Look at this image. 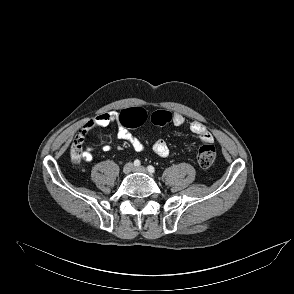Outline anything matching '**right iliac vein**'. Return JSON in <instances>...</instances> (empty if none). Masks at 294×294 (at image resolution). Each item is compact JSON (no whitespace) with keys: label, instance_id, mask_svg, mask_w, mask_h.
Masks as SVG:
<instances>
[{"label":"right iliac vein","instance_id":"obj_1","mask_svg":"<svg viewBox=\"0 0 294 294\" xmlns=\"http://www.w3.org/2000/svg\"><path fill=\"white\" fill-rule=\"evenodd\" d=\"M132 170H133V164L132 163H127L123 167L124 174H129Z\"/></svg>","mask_w":294,"mask_h":294}]
</instances>
